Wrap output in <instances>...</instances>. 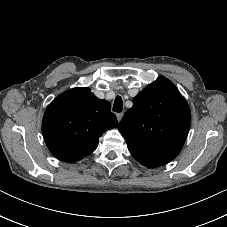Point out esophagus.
I'll return each instance as SVG.
<instances>
[{
	"label": "esophagus",
	"instance_id": "34e87169",
	"mask_svg": "<svg viewBox=\"0 0 227 227\" xmlns=\"http://www.w3.org/2000/svg\"><path fill=\"white\" fill-rule=\"evenodd\" d=\"M116 117H117V120L120 121L123 117V113H117Z\"/></svg>",
	"mask_w": 227,
	"mask_h": 227
}]
</instances>
